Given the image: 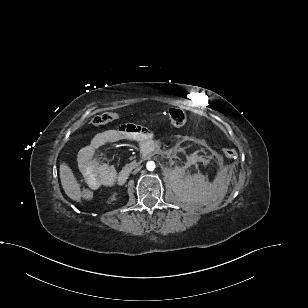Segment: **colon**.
<instances>
[{
  "instance_id": "obj_1",
  "label": "colon",
  "mask_w": 308,
  "mask_h": 308,
  "mask_svg": "<svg viewBox=\"0 0 308 308\" xmlns=\"http://www.w3.org/2000/svg\"><path fill=\"white\" fill-rule=\"evenodd\" d=\"M119 119V115L113 112H106L97 115L93 118L92 124L95 126L104 125ZM187 115L184 110L180 108H171L168 111L167 122L170 126L179 127L186 123ZM224 155L229 158H235L236 151L233 148H225L223 150ZM81 198L85 201L91 200L94 197V189L90 187H84L80 194Z\"/></svg>"
}]
</instances>
